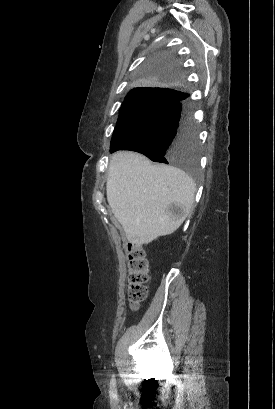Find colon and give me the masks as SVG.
Listing matches in <instances>:
<instances>
[{"instance_id":"1","label":"colon","mask_w":275,"mask_h":409,"mask_svg":"<svg viewBox=\"0 0 275 409\" xmlns=\"http://www.w3.org/2000/svg\"><path fill=\"white\" fill-rule=\"evenodd\" d=\"M126 251L130 260L128 288L130 308L136 310L139 304L147 298L146 283L149 280V264L142 247L129 243Z\"/></svg>"}]
</instances>
